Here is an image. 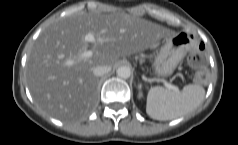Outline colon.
Listing matches in <instances>:
<instances>
[{
  "label": "colon",
  "instance_id": "obj_1",
  "mask_svg": "<svg viewBox=\"0 0 238 145\" xmlns=\"http://www.w3.org/2000/svg\"><path fill=\"white\" fill-rule=\"evenodd\" d=\"M190 64L197 70L195 81L200 84L204 83L206 81V51L204 44L201 43L197 50L192 54Z\"/></svg>",
  "mask_w": 238,
  "mask_h": 145
}]
</instances>
